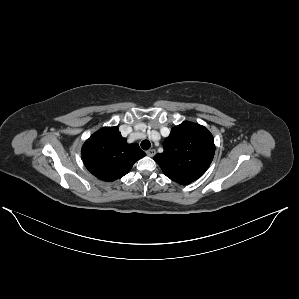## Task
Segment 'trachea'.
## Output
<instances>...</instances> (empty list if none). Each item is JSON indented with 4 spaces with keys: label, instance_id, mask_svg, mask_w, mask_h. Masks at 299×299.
I'll return each mask as SVG.
<instances>
[{
    "label": "trachea",
    "instance_id": "trachea-1",
    "mask_svg": "<svg viewBox=\"0 0 299 299\" xmlns=\"http://www.w3.org/2000/svg\"><path fill=\"white\" fill-rule=\"evenodd\" d=\"M141 147L144 150H148L151 147V143L148 140H143L141 142Z\"/></svg>",
    "mask_w": 299,
    "mask_h": 299
}]
</instances>
